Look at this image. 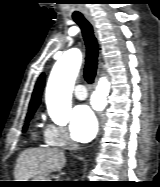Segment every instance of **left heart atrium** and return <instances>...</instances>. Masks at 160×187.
<instances>
[{"mask_svg":"<svg viewBox=\"0 0 160 187\" xmlns=\"http://www.w3.org/2000/svg\"><path fill=\"white\" fill-rule=\"evenodd\" d=\"M70 131L73 138L79 142H88L95 136L97 121L87 105H79L74 109Z\"/></svg>","mask_w":160,"mask_h":187,"instance_id":"39dd6f15","label":"left heart atrium"}]
</instances>
